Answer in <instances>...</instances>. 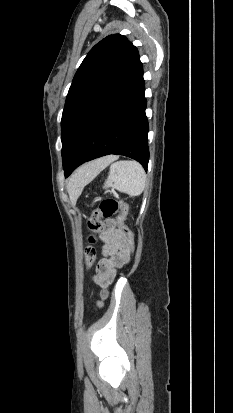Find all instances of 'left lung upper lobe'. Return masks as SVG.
<instances>
[{"label": "left lung upper lobe", "instance_id": "obj_1", "mask_svg": "<svg viewBox=\"0 0 233 413\" xmlns=\"http://www.w3.org/2000/svg\"><path fill=\"white\" fill-rule=\"evenodd\" d=\"M138 56L137 48L120 34L104 38L87 54L73 78L62 114L63 166L72 160L90 122L122 84Z\"/></svg>", "mask_w": 233, "mask_h": 413}]
</instances>
